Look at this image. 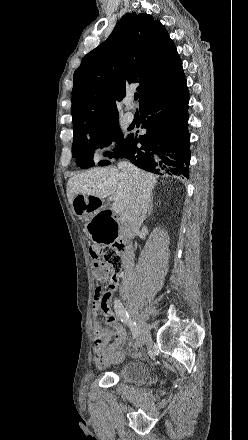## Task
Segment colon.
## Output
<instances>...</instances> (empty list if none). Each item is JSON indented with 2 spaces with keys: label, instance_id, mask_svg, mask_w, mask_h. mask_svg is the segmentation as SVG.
Listing matches in <instances>:
<instances>
[{
  "label": "colon",
  "instance_id": "1",
  "mask_svg": "<svg viewBox=\"0 0 248 440\" xmlns=\"http://www.w3.org/2000/svg\"><path fill=\"white\" fill-rule=\"evenodd\" d=\"M93 270L95 278L99 282L106 281L113 277L111 274L116 267H121V257L119 253L110 246H102L92 250ZM95 298L106 303L108 296L104 294L100 288H96Z\"/></svg>",
  "mask_w": 248,
  "mask_h": 440
}]
</instances>
